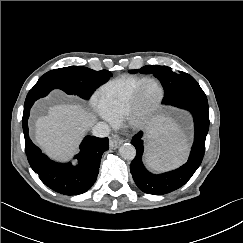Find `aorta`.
<instances>
[{
    "mask_svg": "<svg viewBox=\"0 0 243 243\" xmlns=\"http://www.w3.org/2000/svg\"><path fill=\"white\" fill-rule=\"evenodd\" d=\"M120 156L125 160H133L136 156V149L130 143H125L119 148Z\"/></svg>",
    "mask_w": 243,
    "mask_h": 243,
    "instance_id": "762f6f07",
    "label": "aorta"
}]
</instances>
